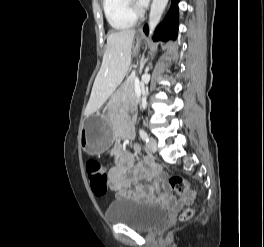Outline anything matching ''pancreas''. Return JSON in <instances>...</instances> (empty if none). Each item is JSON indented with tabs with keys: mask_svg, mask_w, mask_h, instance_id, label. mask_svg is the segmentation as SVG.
<instances>
[{
	"mask_svg": "<svg viewBox=\"0 0 264 247\" xmlns=\"http://www.w3.org/2000/svg\"><path fill=\"white\" fill-rule=\"evenodd\" d=\"M135 75L131 74L129 77L126 79V81L123 83L121 89H120V97L121 98H128L130 101H135L136 96L134 93V79Z\"/></svg>",
	"mask_w": 264,
	"mask_h": 247,
	"instance_id": "pancreas-1",
	"label": "pancreas"
}]
</instances>
